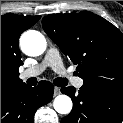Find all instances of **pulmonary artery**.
Here are the masks:
<instances>
[{"label": "pulmonary artery", "instance_id": "pulmonary-artery-1", "mask_svg": "<svg viewBox=\"0 0 123 123\" xmlns=\"http://www.w3.org/2000/svg\"><path fill=\"white\" fill-rule=\"evenodd\" d=\"M46 68H51L60 75L67 74L64 64L62 62V59L60 57V53L58 49L55 47H50L47 50L42 62L34 67L26 69L23 72L22 76L23 77H33V76L41 74ZM72 81H73L74 86L77 88H80L83 85V80L81 78H78V77L73 78Z\"/></svg>", "mask_w": 123, "mask_h": 123}]
</instances>
